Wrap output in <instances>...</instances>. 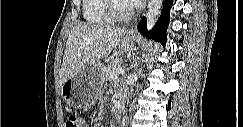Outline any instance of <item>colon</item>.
<instances>
[{
    "instance_id": "colon-1",
    "label": "colon",
    "mask_w": 243,
    "mask_h": 127,
    "mask_svg": "<svg viewBox=\"0 0 243 127\" xmlns=\"http://www.w3.org/2000/svg\"><path fill=\"white\" fill-rule=\"evenodd\" d=\"M65 124L66 127H83V123L74 114H71L66 118Z\"/></svg>"
}]
</instances>
